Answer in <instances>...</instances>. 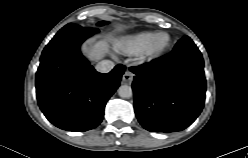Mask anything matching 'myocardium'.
<instances>
[{"mask_svg": "<svg viewBox=\"0 0 248 158\" xmlns=\"http://www.w3.org/2000/svg\"><path fill=\"white\" fill-rule=\"evenodd\" d=\"M161 36L166 37V43L161 46H157L156 41ZM171 41V35L168 32L160 31L154 33L145 50L142 52V58L149 61L162 56L169 49Z\"/></svg>", "mask_w": 248, "mask_h": 158, "instance_id": "obj_1", "label": "myocardium"}]
</instances>
